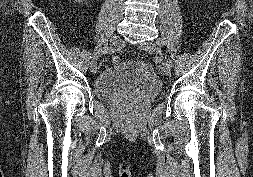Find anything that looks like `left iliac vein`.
<instances>
[{"label": "left iliac vein", "instance_id": "4c4485c4", "mask_svg": "<svg viewBox=\"0 0 253 177\" xmlns=\"http://www.w3.org/2000/svg\"><path fill=\"white\" fill-rule=\"evenodd\" d=\"M140 48L151 53V54L157 55V53H160V49H159L158 45L156 43H153L150 41L141 43ZM158 58H159V56H158ZM162 70L166 76L170 77L171 71H172V61H171L170 66H167L166 64H162Z\"/></svg>", "mask_w": 253, "mask_h": 177}]
</instances>
